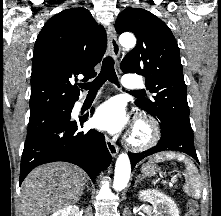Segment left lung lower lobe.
I'll return each mask as SVG.
<instances>
[{"mask_svg":"<svg viewBox=\"0 0 221 216\" xmlns=\"http://www.w3.org/2000/svg\"><path fill=\"white\" fill-rule=\"evenodd\" d=\"M161 132V138L156 146L142 153H128L132 167L143 158L161 151L183 152L190 155L198 162L193 135L169 125L161 126Z\"/></svg>","mask_w":221,"mask_h":216,"instance_id":"obj_1","label":"left lung lower lobe"}]
</instances>
